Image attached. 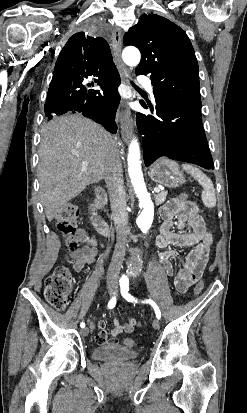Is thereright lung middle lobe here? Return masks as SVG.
<instances>
[{
	"label": "right lung middle lobe",
	"mask_w": 247,
	"mask_h": 413,
	"mask_svg": "<svg viewBox=\"0 0 247 413\" xmlns=\"http://www.w3.org/2000/svg\"><path fill=\"white\" fill-rule=\"evenodd\" d=\"M70 92V88L61 84H51L48 90L47 99H59L62 96L67 95Z\"/></svg>",
	"instance_id": "1"
}]
</instances>
